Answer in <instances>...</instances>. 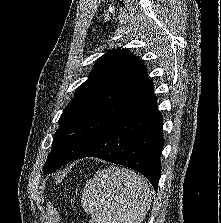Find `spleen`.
<instances>
[{"instance_id":"spleen-1","label":"spleen","mask_w":221,"mask_h":223,"mask_svg":"<svg viewBox=\"0 0 221 223\" xmlns=\"http://www.w3.org/2000/svg\"><path fill=\"white\" fill-rule=\"evenodd\" d=\"M89 223H142L151 207L147 181L135 172L109 167L95 173L82 192Z\"/></svg>"}]
</instances>
